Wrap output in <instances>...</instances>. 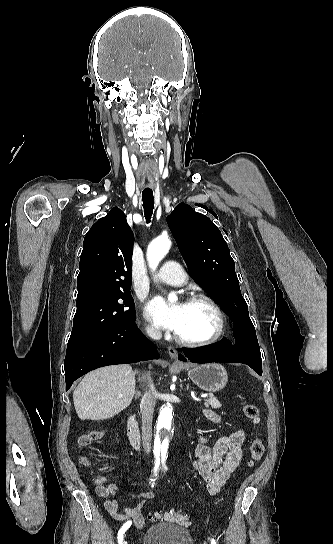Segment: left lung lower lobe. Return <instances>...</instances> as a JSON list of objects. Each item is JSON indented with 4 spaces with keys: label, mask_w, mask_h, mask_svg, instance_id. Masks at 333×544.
Masks as SVG:
<instances>
[{
    "label": "left lung lower lobe",
    "mask_w": 333,
    "mask_h": 544,
    "mask_svg": "<svg viewBox=\"0 0 333 544\" xmlns=\"http://www.w3.org/2000/svg\"><path fill=\"white\" fill-rule=\"evenodd\" d=\"M179 359L196 363L209 362L210 360L230 363L239 362L249 365L259 375L262 374V360L258 343L255 348L239 346L238 341H236L235 346H232L225 339H222L219 343L207 347L184 348V355L180 354Z\"/></svg>",
    "instance_id": "1"
}]
</instances>
